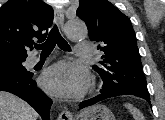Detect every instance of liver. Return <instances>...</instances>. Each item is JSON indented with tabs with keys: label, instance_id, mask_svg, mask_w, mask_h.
<instances>
[{
	"label": "liver",
	"instance_id": "1",
	"mask_svg": "<svg viewBox=\"0 0 165 120\" xmlns=\"http://www.w3.org/2000/svg\"><path fill=\"white\" fill-rule=\"evenodd\" d=\"M37 112L17 96L0 91V120H37Z\"/></svg>",
	"mask_w": 165,
	"mask_h": 120
}]
</instances>
